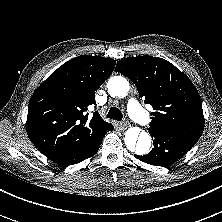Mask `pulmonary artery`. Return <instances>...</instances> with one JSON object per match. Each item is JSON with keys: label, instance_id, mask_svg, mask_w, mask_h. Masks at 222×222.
Segmentation results:
<instances>
[{"label": "pulmonary artery", "instance_id": "pulmonary-artery-1", "mask_svg": "<svg viewBox=\"0 0 222 222\" xmlns=\"http://www.w3.org/2000/svg\"><path fill=\"white\" fill-rule=\"evenodd\" d=\"M127 108L132 119L138 124L145 125L147 123V114L144 109L134 99L127 101Z\"/></svg>", "mask_w": 222, "mask_h": 222}]
</instances>
